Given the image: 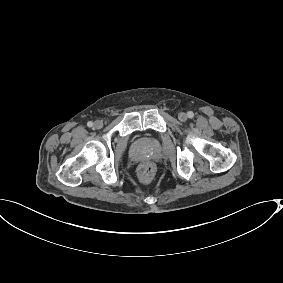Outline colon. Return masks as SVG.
Masks as SVG:
<instances>
[{"label": "colon", "instance_id": "obj_1", "mask_svg": "<svg viewBox=\"0 0 283 283\" xmlns=\"http://www.w3.org/2000/svg\"><path fill=\"white\" fill-rule=\"evenodd\" d=\"M154 175V167L150 163H144L139 168V178L142 182H149Z\"/></svg>", "mask_w": 283, "mask_h": 283}]
</instances>
